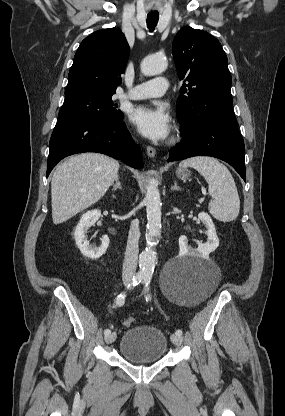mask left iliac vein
Masks as SVG:
<instances>
[{"label": "left iliac vein", "mask_w": 285, "mask_h": 416, "mask_svg": "<svg viewBox=\"0 0 285 416\" xmlns=\"http://www.w3.org/2000/svg\"><path fill=\"white\" fill-rule=\"evenodd\" d=\"M171 341L176 346H180L182 342L181 337L176 334L171 335Z\"/></svg>", "instance_id": "4c4485c4"}]
</instances>
